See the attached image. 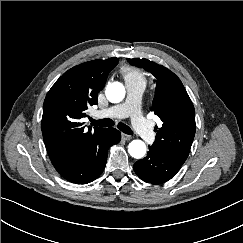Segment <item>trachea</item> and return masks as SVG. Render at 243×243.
I'll return each mask as SVG.
<instances>
[{
    "label": "trachea",
    "instance_id": "3493384b",
    "mask_svg": "<svg viewBox=\"0 0 243 243\" xmlns=\"http://www.w3.org/2000/svg\"><path fill=\"white\" fill-rule=\"evenodd\" d=\"M91 124L95 125V126H100V127H111L114 125V121L112 119H100V120H94V119H90ZM117 127L124 132L125 134L128 135H132L133 131L131 130L130 127H128L126 124L124 123H118Z\"/></svg>",
    "mask_w": 243,
    "mask_h": 243
}]
</instances>
